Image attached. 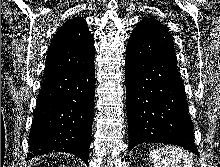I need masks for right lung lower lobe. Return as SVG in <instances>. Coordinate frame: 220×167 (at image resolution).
Segmentation results:
<instances>
[{
    "mask_svg": "<svg viewBox=\"0 0 220 167\" xmlns=\"http://www.w3.org/2000/svg\"><path fill=\"white\" fill-rule=\"evenodd\" d=\"M95 68L90 66L45 78L30 130L26 160L67 152L88 165L93 121Z\"/></svg>",
    "mask_w": 220,
    "mask_h": 167,
    "instance_id": "1",
    "label": "right lung lower lobe"
}]
</instances>
